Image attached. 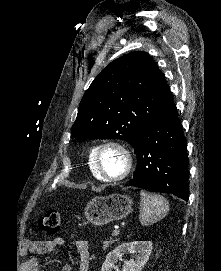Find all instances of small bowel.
Returning a JSON list of instances; mask_svg holds the SVG:
<instances>
[{
    "mask_svg": "<svg viewBox=\"0 0 221 271\" xmlns=\"http://www.w3.org/2000/svg\"><path fill=\"white\" fill-rule=\"evenodd\" d=\"M64 239L57 237L54 239H39V240H27L25 242V248L33 251L39 255L52 253L57 247L64 245ZM76 249L79 254V271H89L90 268V253L89 242L85 239H78L75 242ZM37 259L33 258L27 262L28 269L32 271H39L37 268ZM61 271H73V268L69 264L63 265Z\"/></svg>",
    "mask_w": 221,
    "mask_h": 271,
    "instance_id": "small-bowel-1",
    "label": "small bowel"
}]
</instances>
